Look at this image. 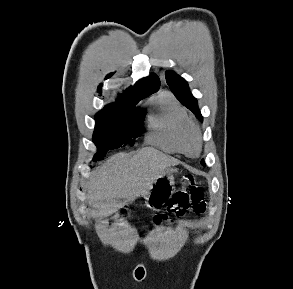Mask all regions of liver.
<instances>
[{
  "mask_svg": "<svg viewBox=\"0 0 293 289\" xmlns=\"http://www.w3.org/2000/svg\"><path fill=\"white\" fill-rule=\"evenodd\" d=\"M177 164L175 158L153 147L142 148L130 158L123 153L115 154L93 172L87 183L88 203L99 209L104 202L116 199L132 202L145 197L166 169Z\"/></svg>",
  "mask_w": 293,
  "mask_h": 289,
  "instance_id": "6515ba94",
  "label": "liver"
}]
</instances>
